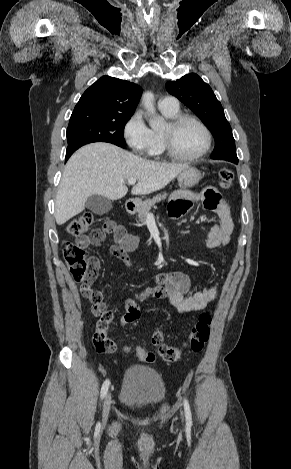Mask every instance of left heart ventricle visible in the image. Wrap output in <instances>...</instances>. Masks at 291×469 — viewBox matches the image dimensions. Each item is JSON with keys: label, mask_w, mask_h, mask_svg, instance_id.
<instances>
[{"label": "left heart ventricle", "mask_w": 291, "mask_h": 469, "mask_svg": "<svg viewBox=\"0 0 291 469\" xmlns=\"http://www.w3.org/2000/svg\"><path fill=\"white\" fill-rule=\"evenodd\" d=\"M166 125L163 131H167ZM172 142L176 152L182 156L198 154L205 143V136L201 128L192 121H186L172 132Z\"/></svg>", "instance_id": "left-heart-ventricle-1"}]
</instances>
